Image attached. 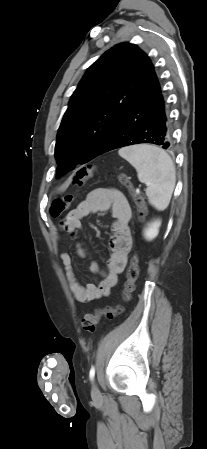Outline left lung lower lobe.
Instances as JSON below:
<instances>
[{"instance_id":"1","label":"left lung lower lobe","mask_w":207,"mask_h":449,"mask_svg":"<svg viewBox=\"0 0 207 449\" xmlns=\"http://www.w3.org/2000/svg\"><path fill=\"white\" fill-rule=\"evenodd\" d=\"M140 143H151L163 149L172 146V133L167 104L157 75L108 137L95 157L108 151Z\"/></svg>"}]
</instances>
